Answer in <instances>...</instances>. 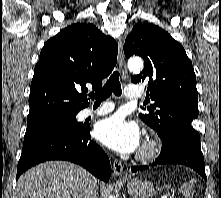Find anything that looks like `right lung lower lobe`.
<instances>
[{"label":"right lung lower lobe","mask_w":221,"mask_h":198,"mask_svg":"<svg viewBox=\"0 0 221 198\" xmlns=\"http://www.w3.org/2000/svg\"><path fill=\"white\" fill-rule=\"evenodd\" d=\"M49 160H66L81 165L107 182L111 176L108 156L90 138V126L75 132H53L23 144L17 178L27 169Z\"/></svg>","instance_id":"right-lung-lower-lobe-1"}]
</instances>
